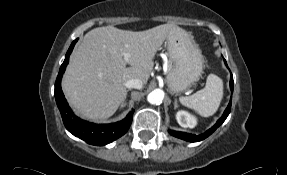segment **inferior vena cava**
Instances as JSON below:
<instances>
[{"instance_id":"obj_1","label":"inferior vena cava","mask_w":287,"mask_h":175,"mask_svg":"<svg viewBox=\"0 0 287 175\" xmlns=\"http://www.w3.org/2000/svg\"><path fill=\"white\" fill-rule=\"evenodd\" d=\"M127 88L141 89L143 87V82L140 79H130L125 82Z\"/></svg>"}]
</instances>
